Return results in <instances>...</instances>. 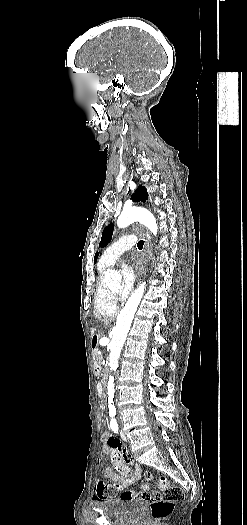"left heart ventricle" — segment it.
<instances>
[{"label":"left heart ventricle","mask_w":247,"mask_h":525,"mask_svg":"<svg viewBox=\"0 0 247 525\" xmlns=\"http://www.w3.org/2000/svg\"><path fill=\"white\" fill-rule=\"evenodd\" d=\"M129 254L126 253L123 256L120 257V259L116 262L115 267L122 273L124 270H130L132 268L131 261L129 259ZM119 285H111L109 286V289L111 291H116L118 289ZM146 324V323H144Z\"/></svg>","instance_id":"left-heart-ventricle-1"}]
</instances>
